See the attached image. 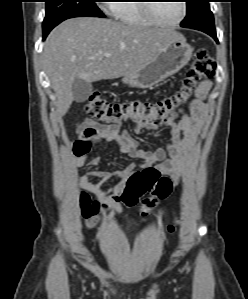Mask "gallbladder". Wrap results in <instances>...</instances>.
I'll return each mask as SVG.
<instances>
[{
    "mask_svg": "<svg viewBox=\"0 0 248 299\" xmlns=\"http://www.w3.org/2000/svg\"><path fill=\"white\" fill-rule=\"evenodd\" d=\"M92 90V84L83 79L76 78L72 83V93L74 96V100L77 103L86 101L90 96Z\"/></svg>",
    "mask_w": 248,
    "mask_h": 299,
    "instance_id": "1",
    "label": "gallbladder"
}]
</instances>
